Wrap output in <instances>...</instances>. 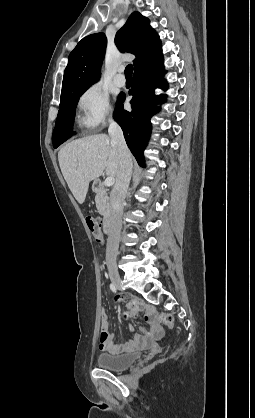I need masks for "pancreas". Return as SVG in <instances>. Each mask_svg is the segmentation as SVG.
Masks as SVG:
<instances>
[{
    "instance_id": "pancreas-1",
    "label": "pancreas",
    "mask_w": 255,
    "mask_h": 418,
    "mask_svg": "<svg viewBox=\"0 0 255 418\" xmlns=\"http://www.w3.org/2000/svg\"><path fill=\"white\" fill-rule=\"evenodd\" d=\"M95 202L99 214L104 217L107 216L109 212V197L103 189L97 192Z\"/></svg>"
}]
</instances>
